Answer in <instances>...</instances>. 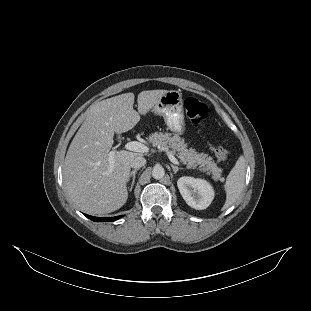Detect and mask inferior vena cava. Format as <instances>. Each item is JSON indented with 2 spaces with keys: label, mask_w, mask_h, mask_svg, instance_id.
<instances>
[{
  "label": "inferior vena cava",
  "mask_w": 311,
  "mask_h": 311,
  "mask_svg": "<svg viewBox=\"0 0 311 311\" xmlns=\"http://www.w3.org/2000/svg\"><path fill=\"white\" fill-rule=\"evenodd\" d=\"M146 164V159L144 157H135L134 159L131 160L130 165L131 168L138 169Z\"/></svg>",
  "instance_id": "1"
}]
</instances>
